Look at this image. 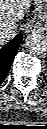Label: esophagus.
Masks as SVG:
<instances>
[{
    "label": "esophagus",
    "mask_w": 47,
    "mask_h": 129,
    "mask_svg": "<svg viewBox=\"0 0 47 129\" xmlns=\"http://www.w3.org/2000/svg\"><path fill=\"white\" fill-rule=\"evenodd\" d=\"M36 28V25L35 24H29L27 27H26V31L27 32H33Z\"/></svg>",
    "instance_id": "1"
}]
</instances>
